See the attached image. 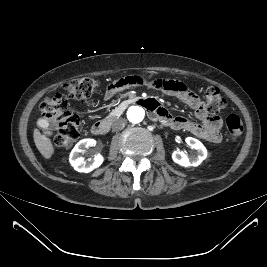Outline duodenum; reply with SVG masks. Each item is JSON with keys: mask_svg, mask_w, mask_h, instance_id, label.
Segmentation results:
<instances>
[{"mask_svg": "<svg viewBox=\"0 0 267 267\" xmlns=\"http://www.w3.org/2000/svg\"><path fill=\"white\" fill-rule=\"evenodd\" d=\"M137 102L145 105L148 109L156 108V103L153 100H137ZM110 125L109 120L99 121L93 124L91 131L97 136L105 135L110 130Z\"/></svg>", "mask_w": 267, "mask_h": 267, "instance_id": "1", "label": "duodenum"}]
</instances>
